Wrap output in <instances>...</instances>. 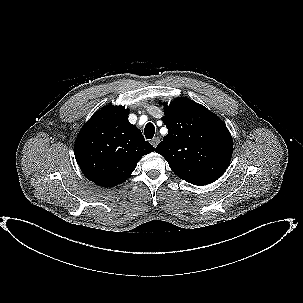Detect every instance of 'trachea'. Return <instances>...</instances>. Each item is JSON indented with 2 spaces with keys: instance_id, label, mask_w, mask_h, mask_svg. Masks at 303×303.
I'll return each instance as SVG.
<instances>
[{
  "instance_id": "obj_1",
  "label": "trachea",
  "mask_w": 303,
  "mask_h": 303,
  "mask_svg": "<svg viewBox=\"0 0 303 303\" xmlns=\"http://www.w3.org/2000/svg\"><path fill=\"white\" fill-rule=\"evenodd\" d=\"M146 139H152L155 134V126L152 123H147L144 129Z\"/></svg>"
}]
</instances>
